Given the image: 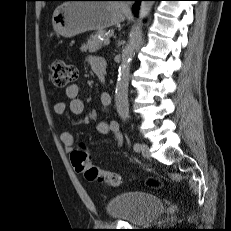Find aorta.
<instances>
[{"label":"aorta","mask_w":231,"mask_h":231,"mask_svg":"<svg viewBox=\"0 0 231 231\" xmlns=\"http://www.w3.org/2000/svg\"><path fill=\"white\" fill-rule=\"evenodd\" d=\"M153 4V1H142L140 3L137 24L132 29L131 38L128 44L122 50L121 63L118 71V79L115 90V106L117 113L122 120H127L129 118L128 86L130 67L134 55L136 41L143 26V21L151 11Z\"/></svg>","instance_id":"1"}]
</instances>
